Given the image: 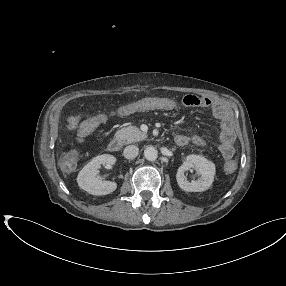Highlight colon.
<instances>
[{"label": "colon", "instance_id": "colon-1", "mask_svg": "<svg viewBox=\"0 0 286 286\" xmlns=\"http://www.w3.org/2000/svg\"><path fill=\"white\" fill-rule=\"evenodd\" d=\"M74 121L78 124L80 119L78 116H73ZM91 131V127L88 125H82L80 127V136L85 137ZM63 164L66 168H73L77 163V155L75 153H69L62 159ZM235 169V163L230 161L226 164V170L232 172Z\"/></svg>", "mask_w": 286, "mask_h": 286}]
</instances>
